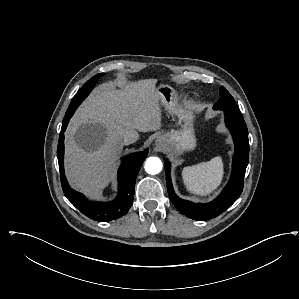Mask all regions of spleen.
<instances>
[{"label":"spleen","instance_id":"spleen-1","mask_svg":"<svg viewBox=\"0 0 299 299\" xmlns=\"http://www.w3.org/2000/svg\"><path fill=\"white\" fill-rule=\"evenodd\" d=\"M223 175V161L220 156L182 170V178L187 190L202 196L215 191L221 184Z\"/></svg>","mask_w":299,"mask_h":299}]
</instances>
